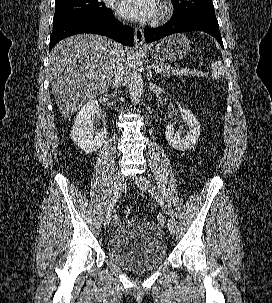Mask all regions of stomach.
I'll use <instances>...</instances> for the list:
<instances>
[{
  "mask_svg": "<svg viewBox=\"0 0 272 303\" xmlns=\"http://www.w3.org/2000/svg\"><path fill=\"white\" fill-rule=\"evenodd\" d=\"M190 49V41L183 34H175L164 38L148 50L152 58L163 62L180 60Z\"/></svg>",
  "mask_w": 272,
  "mask_h": 303,
  "instance_id": "stomach-1",
  "label": "stomach"
}]
</instances>
